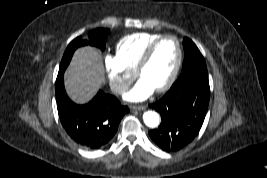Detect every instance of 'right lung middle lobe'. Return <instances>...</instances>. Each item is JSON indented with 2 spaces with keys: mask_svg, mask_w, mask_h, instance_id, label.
<instances>
[{
  "mask_svg": "<svg viewBox=\"0 0 267 178\" xmlns=\"http://www.w3.org/2000/svg\"><path fill=\"white\" fill-rule=\"evenodd\" d=\"M108 29L99 28L89 33V39L83 40L81 37L74 39L67 47L63 58L61 60L59 71H64L69 65L73 53L81 46L91 45L100 48L102 51L105 49L106 38L108 36Z\"/></svg>",
  "mask_w": 267,
  "mask_h": 178,
  "instance_id": "dd1d6c3e",
  "label": "right lung middle lobe"
}]
</instances>
